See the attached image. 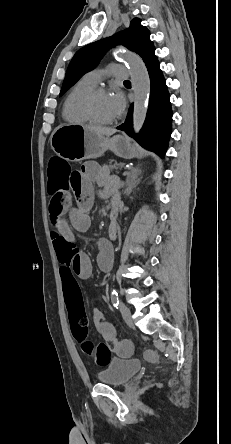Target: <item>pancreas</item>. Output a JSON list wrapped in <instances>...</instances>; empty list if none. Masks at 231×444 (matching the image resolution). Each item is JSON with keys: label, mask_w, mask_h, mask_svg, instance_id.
I'll list each match as a JSON object with an SVG mask.
<instances>
[{"label": "pancreas", "mask_w": 231, "mask_h": 444, "mask_svg": "<svg viewBox=\"0 0 231 444\" xmlns=\"http://www.w3.org/2000/svg\"><path fill=\"white\" fill-rule=\"evenodd\" d=\"M110 169H118L122 166V164L117 163L116 161L110 160L108 162Z\"/></svg>", "instance_id": "cf45deb5"}]
</instances>
